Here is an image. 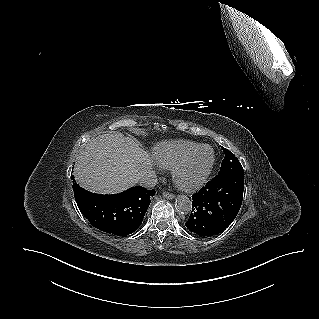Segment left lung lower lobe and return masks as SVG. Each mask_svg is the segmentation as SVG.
Segmentation results:
<instances>
[{"mask_svg": "<svg viewBox=\"0 0 319 319\" xmlns=\"http://www.w3.org/2000/svg\"><path fill=\"white\" fill-rule=\"evenodd\" d=\"M243 189L244 173L217 175L192 195V213L186 227L200 236L223 232L239 212Z\"/></svg>", "mask_w": 319, "mask_h": 319, "instance_id": "0a47b994", "label": "left lung lower lobe"}]
</instances>
